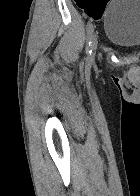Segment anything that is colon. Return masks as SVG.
<instances>
[{
  "label": "colon",
  "instance_id": "5ec220e1",
  "mask_svg": "<svg viewBox=\"0 0 140 196\" xmlns=\"http://www.w3.org/2000/svg\"><path fill=\"white\" fill-rule=\"evenodd\" d=\"M75 2H76V3H81L82 1H81V0H75Z\"/></svg>",
  "mask_w": 140,
  "mask_h": 196
}]
</instances>
